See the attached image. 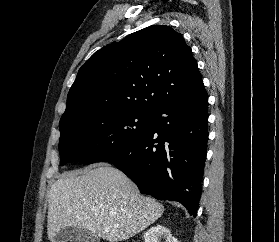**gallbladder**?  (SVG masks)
I'll return each mask as SVG.
<instances>
[{
    "label": "gallbladder",
    "mask_w": 279,
    "mask_h": 242,
    "mask_svg": "<svg viewBox=\"0 0 279 242\" xmlns=\"http://www.w3.org/2000/svg\"><path fill=\"white\" fill-rule=\"evenodd\" d=\"M98 239L88 230L68 227L57 233L54 242H95Z\"/></svg>",
    "instance_id": "obj_1"
}]
</instances>
